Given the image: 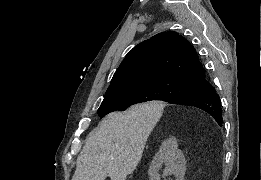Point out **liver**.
I'll list each match as a JSON object with an SVG mask.
<instances>
[{"label": "liver", "instance_id": "1", "mask_svg": "<svg viewBox=\"0 0 261 180\" xmlns=\"http://www.w3.org/2000/svg\"><path fill=\"white\" fill-rule=\"evenodd\" d=\"M157 104L132 106L127 112H111L90 132L76 160L72 180H127L138 166L146 142L156 124Z\"/></svg>", "mask_w": 261, "mask_h": 180}]
</instances>
